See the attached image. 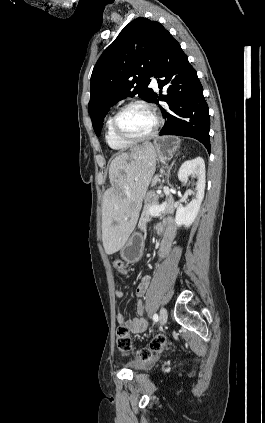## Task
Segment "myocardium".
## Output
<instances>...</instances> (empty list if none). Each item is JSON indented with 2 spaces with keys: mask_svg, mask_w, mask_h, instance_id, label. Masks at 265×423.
<instances>
[{
  "mask_svg": "<svg viewBox=\"0 0 265 423\" xmlns=\"http://www.w3.org/2000/svg\"><path fill=\"white\" fill-rule=\"evenodd\" d=\"M134 107H140V108L147 110L152 115V117L154 119V126H153L152 130L144 136L132 137V136L125 134L120 128V118H121V116L128 109L134 108ZM160 126H161V119H160L158 113L156 112L155 108L152 105H150L149 103H146V102H143V101H132V102L125 104L115 113L113 120H112V129H113L115 136L118 139H120L121 141L126 142V143H130V144H136V143H140V142H144V141L152 139L157 134Z\"/></svg>",
  "mask_w": 265,
  "mask_h": 423,
  "instance_id": "f54148a6",
  "label": "myocardium"
}]
</instances>
